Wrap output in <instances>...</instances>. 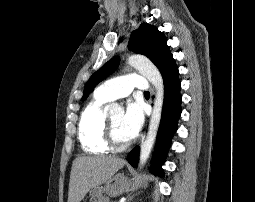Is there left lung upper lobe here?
Segmentation results:
<instances>
[{
  "mask_svg": "<svg viewBox=\"0 0 255 202\" xmlns=\"http://www.w3.org/2000/svg\"><path fill=\"white\" fill-rule=\"evenodd\" d=\"M128 48L135 53L148 57L161 72L164 84L178 74L166 38L155 26L142 23L137 30L132 32ZM118 65L119 57L115 56L96 71L87 81L82 99H86L93 88L116 70Z\"/></svg>",
  "mask_w": 255,
  "mask_h": 202,
  "instance_id": "left-lung-upper-lobe-1",
  "label": "left lung upper lobe"
}]
</instances>
